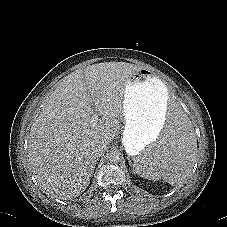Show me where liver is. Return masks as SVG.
Segmentation results:
<instances>
[{
	"label": "liver",
	"instance_id": "obj_1",
	"mask_svg": "<svg viewBox=\"0 0 227 227\" xmlns=\"http://www.w3.org/2000/svg\"><path fill=\"white\" fill-rule=\"evenodd\" d=\"M139 69L124 62L94 64L66 76L46 98L28 143L30 167L44 190L61 199L85 191L96 164L93 147L115 137L129 77ZM94 114L102 119L92 125Z\"/></svg>",
	"mask_w": 227,
	"mask_h": 227
}]
</instances>
